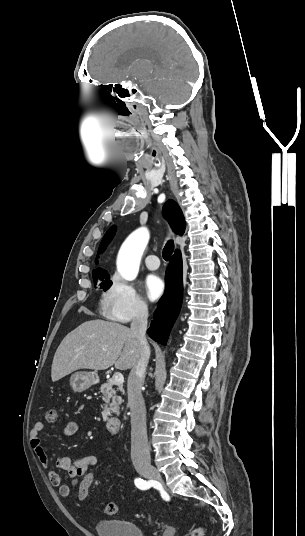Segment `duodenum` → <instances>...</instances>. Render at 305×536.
I'll use <instances>...</instances> for the list:
<instances>
[{
	"mask_svg": "<svg viewBox=\"0 0 305 536\" xmlns=\"http://www.w3.org/2000/svg\"><path fill=\"white\" fill-rule=\"evenodd\" d=\"M105 430L108 434H117L121 430V424L118 418L112 417L105 423Z\"/></svg>",
	"mask_w": 305,
	"mask_h": 536,
	"instance_id": "410a0bca",
	"label": "duodenum"
}]
</instances>
